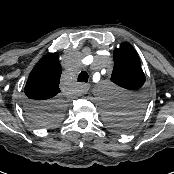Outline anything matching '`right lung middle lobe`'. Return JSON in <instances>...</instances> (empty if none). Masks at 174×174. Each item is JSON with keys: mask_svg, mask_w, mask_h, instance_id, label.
<instances>
[{"mask_svg": "<svg viewBox=\"0 0 174 174\" xmlns=\"http://www.w3.org/2000/svg\"><path fill=\"white\" fill-rule=\"evenodd\" d=\"M64 103L61 99L40 105L28 103L26 111L32 123L37 127H51L59 123L64 116Z\"/></svg>", "mask_w": 174, "mask_h": 174, "instance_id": "1", "label": "right lung middle lobe"}]
</instances>
